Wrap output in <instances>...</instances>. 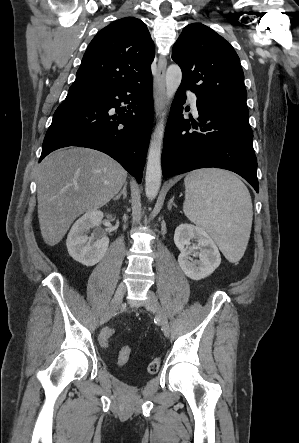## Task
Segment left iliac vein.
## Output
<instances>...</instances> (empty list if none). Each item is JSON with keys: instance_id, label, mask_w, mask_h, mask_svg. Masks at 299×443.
<instances>
[{"instance_id": "1", "label": "left iliac vein", "mask_w": 299, "mask_h": 443, "mask_svg": "<svg viewBox=\"0 0 299 443\" xmlns=\"http://www.w3.org/2000/svg\"><path fill=\"white\" fill-rule=\"evenodd\" d=\"M146 307L148 310L154 312L157 315V317L159 318V321H160L161 329H162L164 335L166 337H168L170 334V327H169L168 319H167L158 299L152 293H150V299H149Z\"/></svg>"}]
</instances>
